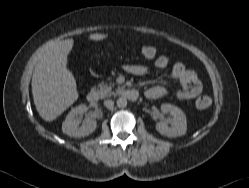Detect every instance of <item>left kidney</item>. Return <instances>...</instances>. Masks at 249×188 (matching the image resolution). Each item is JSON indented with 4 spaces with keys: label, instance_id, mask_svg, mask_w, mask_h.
Listing matches in <instances>:
<instances>
[{
    "label": "left kidney",
    "instance_id": "5707ae66",
    "mask_svg": "<svg viewBox=\"0 0 249 188\" xmlns=\"http://www.w3.org/2000/svg\"><path fill=\"white\" fill-rule=\"evenodd\" d=\"M163 113H171L173 118L169 122H157L156 130L167 137H178L186 134L187 120L184 112L177 106L171 104H162Z\"/></svg>",
    "mask_w": 249,
    "mask_h": 188
}]
</instances>
